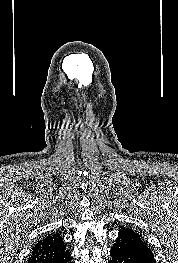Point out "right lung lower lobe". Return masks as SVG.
<instances>
[{
  "label": "right lung lower lobe",
  "instance_id": "obj_1",
  "mask_svg": "<svg viewBox=\"0 0 178 263\" xmlns=\"http://www.w3.org/2000/svg\"><path fill=\"white\" fill-rule=\"evenodd\" d=\"M48 263H72L69 251L65 250L54 259L50 260Z\"/></svg>",
  "mask_w": 178,
  "mask_h": 263
}]
</instances>
